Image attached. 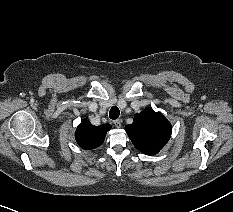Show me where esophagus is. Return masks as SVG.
<instances>
[{
	"label": "esophagus",
	"mask_w": 233,
	"mask_h": 212,
	"mask_svg": "<svg viewBox=\"0 0 233 212\" xmlns=\"http://www.w3.org/2000/svg\"><path fill=\"white\" fill-rule=\"evenodd\" d=\"M113 124L116 128H120L122 125V121L120 119L114 120Z\"/></svg>",
	"instance_id": "34e87169"
}]
</instances>
